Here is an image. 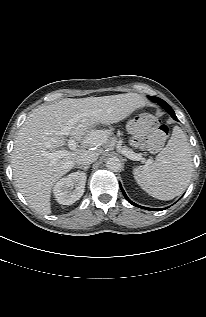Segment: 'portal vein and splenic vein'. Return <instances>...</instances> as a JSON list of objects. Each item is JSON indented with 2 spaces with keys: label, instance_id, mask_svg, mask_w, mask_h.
<instances>
[{
  "label": "portal vein and splenic vein",
  "instance_id": "portal-vein-and-splenic-vein-1",
  "mask_svg": "<svg viewBox=\"0 0 206 317\" xmlns=\"http://www.w3.org/2000/svg\"><path fill=\"white\" fill-rule=\"evenodd\" d=\"M75 122H76L75 120H71L67 125L62 126L59 133H60L61 135H69L70 130H71V128H72V125H73ZM68 147H69L71 150H74V149L77 147V142H76L74 139L70 138V139L68 140ZM68 153H69V152L66 151V150H58V151H55V152H52V153L47 154V156H48V158H49L50 160L55 161V160H57V159H60V158H63V157H65V156H67ZM122 153H123L124 155H126V156H127L129 159H131V160L140 161V160L143 159L140 154L134 153V152H132V151L122 150Z\"/></svg>",
  "mask_w": 206,
  "mask_h": 317
}]
</instances>
